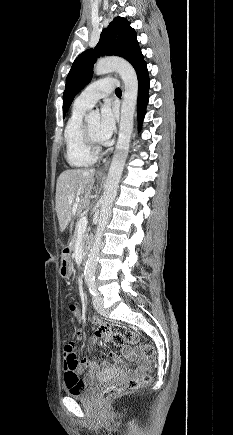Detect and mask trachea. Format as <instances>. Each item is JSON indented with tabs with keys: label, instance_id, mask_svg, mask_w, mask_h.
<instances>
[{
	"label": "trachea",
	"instance_id": "trachea-1",
	"mask_svg": "<svg viewBox=\"0 0 233 435\" xmlns=\"http://www.w3.org/2000/svg\"><path fill=\"white\" fill-rule=\"evenodd\" d=\"M116 93H121V89H120V88H117V89H116Z\"/></svg>",
	"mask_w": 233,
	"mask_h": 435
}]
</instances>
